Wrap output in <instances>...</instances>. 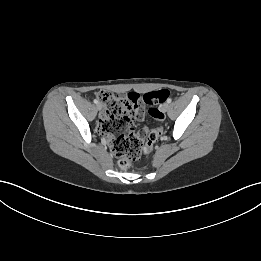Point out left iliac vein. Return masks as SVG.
Instances as JSON below:
<instances>
[{"label":"left iliac vein","mask_w":261,"mask_h":261,"mask_svg":"<svg viewBox=\"0 0 261 261\" xmlns=\"http://www.w3.org/2000/svg\"><path fill=\"white\" fill-rule=\"evenodd\" d=\"M169 109V104L168 103H164L162 106H161V110L163 112H167V110Z\"/></svg>","instance_id":"1"}]
</instances>
